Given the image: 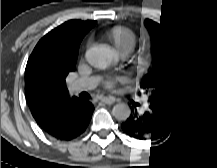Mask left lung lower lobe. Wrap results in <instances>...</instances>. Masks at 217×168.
I'll return each mask as SVG.
<instances>
[{
  "label": "left lung lower lobe",
  "instance_id": "left-lung-lower-lobe-1",
  "mask_svg": "<svg viewBox=\"0 0 217 168\" xmlns=\"http://www.w3.org/2000/svg\"><path fill=\"white\" fill-rule=\"evenodd\" d=\"M177 110L168 106L150 101L149 109L141 116L128 119L122 124L124 131L137 138H156L163 134L172 124Z\"/></svg>",
  "mask_w": 217,
  "mask_h": 168
}]
</instances>
